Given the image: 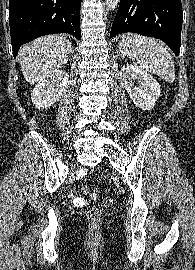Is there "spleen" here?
<instances>
[{"label":"spleen","mask_w":195,"mask_h":270,"mask_svg":"<svg viewBox=\"0 0 195 270\" xmlns=\"http://www.w3.org/2000/svg\"><path fill=\"white\" fill-rule=\"evenodd\" d=\"M119 49L137 67L156 74L168 83L175 81L174 62L160 41L129 33L122 37Z\"/></svg>","instance_id":"3e777b00"}]
</instances>
